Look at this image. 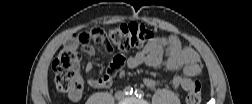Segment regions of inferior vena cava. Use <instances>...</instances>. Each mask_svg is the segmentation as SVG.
<instances>
[{"label": "inferior vena cava", "instance_id": "1", "mask_svg": "<svg viewBox=\"0 0 252 104\" xmlns=\"http://www.w3.org/2000/svg\"><path fill=\"white\" fill-rule=\"evenodd\" d=\"M124 96H125V94H124L123 91H118V92H116V94H115V98H116L117 100H122V99L124 98Z\"/></svg>", "mask_w": 252, "mask_h": 104}]
</instances>
